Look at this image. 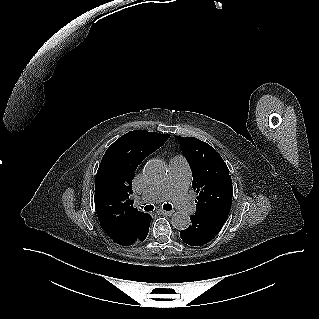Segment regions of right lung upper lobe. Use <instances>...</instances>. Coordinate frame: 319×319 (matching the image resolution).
I'll return each mask as SVG.
<instances>
[{"label": "right lung upper lobe", "instance_id": "obj_1", "mask_svg": "<svg viewBox=\"0 0 319 319\" xmlns=\"http://www.w3.org/2000/svg\"><path fill=\"white\" fill-rule=\"evenodd\" d=\"M170 137L145 130H135L117 139L105 152L95 180V209L108 236L125 245L144 212L129 199L132 180L138 165L160 148Z\"/></svg>", "mask_w": 319, "mask_h": 319}]
</instances>
